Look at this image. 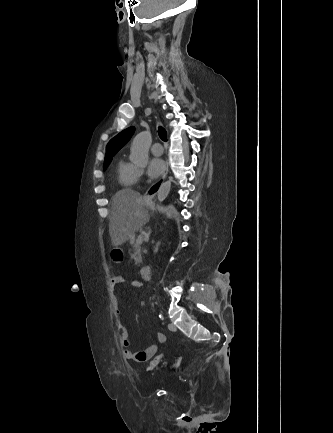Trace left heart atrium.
<instances>
[{"instance_id":"obj_1","label":"left heart atrium","mask_w":333,"mask_h":433,"mask_svg":"<svg viewBox=\"0 0 333 433\" xmlns=\"http://www.w3.org/2000/svg\"><path fill=\"white\" fill-rule=\"evenodd\" d=\"M165 162L160 157H153L148 164V174L152 178H157L163 173Z\"/></svg>"}]
</instances>
